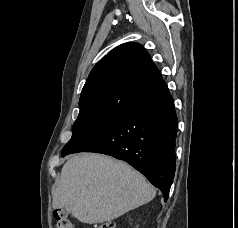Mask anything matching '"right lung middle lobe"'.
Segmentation results:
<instances>
[{"instance_id": "right-lung-middle-lobe-1", "label": "right lung middle lobe", "mask_w": 238, "mask_h": 228, "mask_svg": "<svg viewBox=\"0 0 238 228\" xmlns=\"http://www.w3.org/2000/svg\"><path fill=\"white\" fill-rule=\"evenodd\" d=\"M123 113L125 112H79L78 118L73 125L72 137L62 149L61 155L64 157L76 150L115 121Z\"/></svg>"}]
</instances>
